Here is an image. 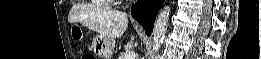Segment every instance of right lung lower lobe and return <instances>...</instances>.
<instances>
[{
	"label": "right lung lower lobe",
	"mask_w": 261,
	"mask_h": 59,
	"mask_svg": "<svg viewBox=\"0 0 261 59\" xmlns=\"http://www.w3.org/2000/svg\"><path fill=\"white\" fill-rule=\"evenodd\" d=\"M163 2L164 0H138L132 7V16L144 27L149 36L153 30L156 15Z\"/></svg>",
	"instance_id": "98d812e1"
}]
</instances>
